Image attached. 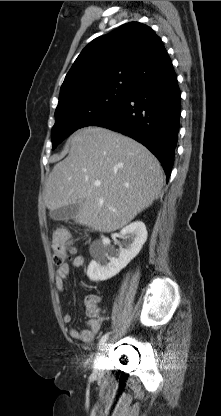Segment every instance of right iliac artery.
Segmentation results:
<instances>
[{
    "instance_id": "82829eb1",
    "label": "right iliac artery",
    "mask_w": 221,
    "mask_h": 416,
    "mask_svg": "<svg viewBox=\"0 0 221 416\" xmlns=\"http://www.w3.org/2000/svg\"><path fill=\"white\" fill-rule=\"evenodd\" d=\"M108 337H109V334H108V333H107V334H104V335L101 337V339H100V341H99V347H100L101 345H103V344L107 341Z\"/></svg>"
}]
</instances>
